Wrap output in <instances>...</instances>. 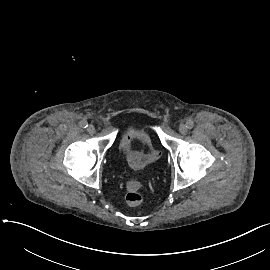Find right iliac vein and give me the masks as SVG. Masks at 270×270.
Here are the masks:
<instances>
[{"label": "right iliac vein", "mask_w": 270, "mask_h": 270, "mask_svg": "<svg viewBox=\"0 0 270 270\" xmlns=\"http://www.w3.org/2000/svg\"><path fill=\"white\" fill-rule=\"evenodd\" d=\"M87 132H88L89 134H93V133L95 132V127H94L92 124H90V125L88 126V128H87Z\"/></svg>", "instance_id": "obj_1"}]
</instances>
